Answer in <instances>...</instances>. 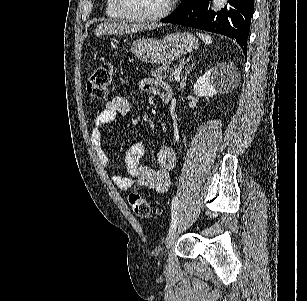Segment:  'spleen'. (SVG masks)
Masks as SVG:
<instances>
[{
  "label": "spleen",
  "mask_w": 307,
  "mask_h": 301,
  "mask_svg": "<svg viewBox=\"0 0 307 301\" xmlns=\"http://www.w3.org/2000/svg\"><path fill=\"white\" fill-rule=\"evenodd\" d=\"M199 38H202L203 42H205V44H211L212 42V38L211 36H209V34H203V32H197Z\"/></svg>",
  "instance_id": "3e777b00"
}]
</instances>
